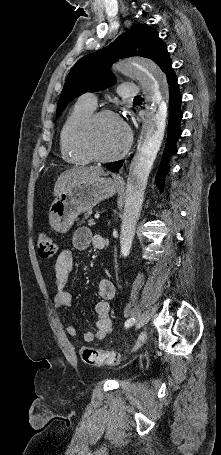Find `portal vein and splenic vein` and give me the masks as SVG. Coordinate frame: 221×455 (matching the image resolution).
Wrapping results in <instances>:
<instances>
[{
  "mask_svg": "<svg viewBox=\"0 0 221 455\" xmlns=\"http://www.w3.org/2000/svg\"><path fill=\"white\" fill-rule=\"evenodd\" d=\"M100 215L97 213L95 214V219H99Z\"/></svg>",
  "mask_w": 221,
  "mask_h": 455,
  "instance_id": "1",
  "label": "portal vein and splenic vein"
}]
</instances>
